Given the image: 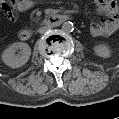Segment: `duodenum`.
<instances>
[{
  "label": "duodenum",
  "mask_w": 119,
  "mask_h": 119,
  "mask_svg": "<svg viewBox=\"0 0 119 119\" xmlns=\"http://www.w3.org/2000/svg\"><path fill=\"white\" fill-rule=\"evenodd\" d=\"M70 16L66 14H55L46 17L43 20V24L47 27H57L69 20ZM33 35V32L29 29H22L19 31V38L23 41L29 40Z\"/></svg>",
  "instance_id": "410a0bca"
}]
</instances>
